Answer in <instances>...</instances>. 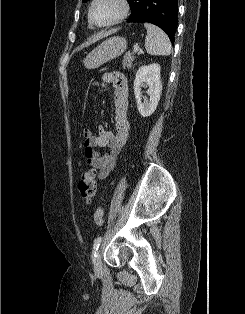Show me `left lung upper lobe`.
<instances>
[{"mask_svg":"<svg viewBox=\"0 0 245 314\" xmlns=\"http://www.w3.org/2000/svg\"><path fill=\"white\" fill-rule=\"evenodd\" d=\"M88 0H83V2H86ZM130 7H131V16L137 14L139 10L141 9V3L143 0H127Z\"/></svg>","mask_w":245,"mask_h":314,"instance_id":"obj_1","label":"left lung upper lobe"}]
</instances>
